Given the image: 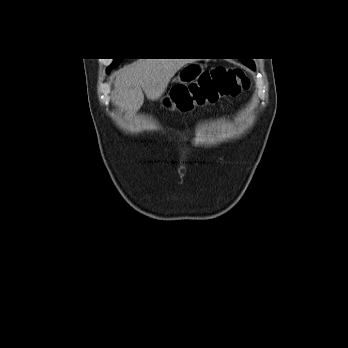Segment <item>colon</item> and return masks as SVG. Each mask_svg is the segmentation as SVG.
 <instances>
[{
	"instance_id": "colon-1",
	"label": "colon",
	"mask_w": 348,
	"mask_h": 348,
	"mask_svg": "<svg viewBox=\"0 0 348 348\" xmlns=\"http://www.w3.org/2000/svg\"><path fill=\"white\" fill-rule=\"evenodd\" d=\"M250 82L243 70L235 67L217 66L202 72L197 81L176 87L166 104L176 110L198 105V97L209 102L211 99L235 97L249 88Z\"/></svg>"
}]
</instances>
